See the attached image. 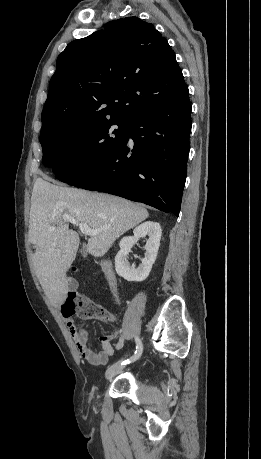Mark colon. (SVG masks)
<instances>
[{
    "instance_id": "obj_1",
    "label": "colon",
    "mask_w": 261,
    "mask_h": 459,
    "mask_svg": "<svg viewBox=\"0 0 261 459\" xmlns=\"http://www.w3.org/2000/svg\"><path fill=\"white\" fill-rule=\"evenodd\" d=\"M73 267V270H76ZM62 314L68 318L77 315L83 319H99L106 322L114 321V317L105 308L97 304L92 298L80 294L70 293L62 304Z\"/></svg>"
}]
</instances>
